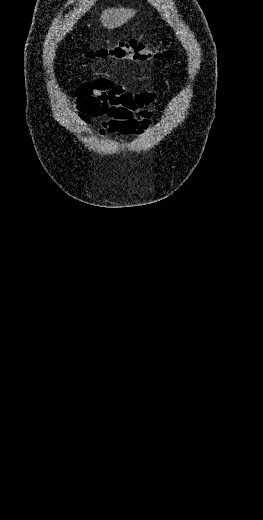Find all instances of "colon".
<instances>
[{
	"label": "colon",
	"mask_w": 263,
	"mask_h": 520,
	"mask_svg": "<svg viewBox=\"0 0 263 520\" xmlns=\"http://www.w3.org/2000/svg\"><path fill=\"white\" fill-rule=\"evenodd\" d=\"M174 53L175 51L167 43L151 46L137 39H129L109 47L92 50L88 53V56L90 58H113L120 61L142 62L170 58Z\"/></svg>",
	"instance_id": "colon-1"
}]
</instances>
